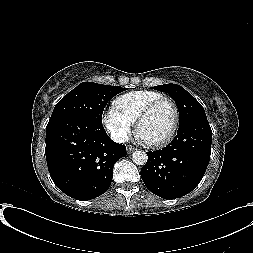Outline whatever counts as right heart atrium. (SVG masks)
Instances as JSON below:
<instances>
[{"label":"right heart atrium","instance_id":"obj_1","mask_svg":"<svg viewBox=\"0 0 253 253\" xmlns=\"http://www.w3.org/2000/svg\"><path fill=\"white\" fill-rule=\"evenodd\" d=\"M103 123L112 138L119 143L126 142L132 134L133 123L115 106L109 107L104 112Z\"/></svg>","mask_w":253,"mask_h":253}]
</instances>
